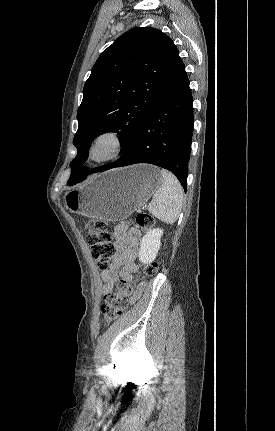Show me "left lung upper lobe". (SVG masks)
I'll list each match as a JSON object with an SVG mask.
<instances>
[{"instance_id":"1","label":"left lung upper lobe","mask_w":275,"mask_h":431,"mask_svg":"<svg viewBox=\"0 0 275 431\" xmlns=\"http://www.w3.org/2000/svg\"><path fill=\"white\" fill-rule=\"evenodd\" d=\"M179 61L173 41L150 27L130 29L101 53L85 83L77 112L73 144L78 153L70 163V178L91 173L82 163L88 158L92 140L105 132H118L122 156L126 153Z\"/></svg>"}]
</instances>
